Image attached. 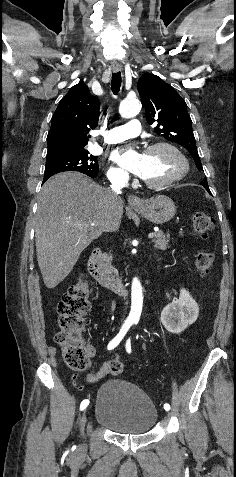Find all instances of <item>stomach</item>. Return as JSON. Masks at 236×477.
I'll use <instances>...</instances> for the list:
<instances>
[{
    "label": "stomach",
    "instance_id": "0dacf381",
    "mask_svg": "<svg viewBox=\"0 0 236 477\" xmlns=\"http://www.w3.org/2000/svg\"><path fill=\"white\" fill-rule=\"evenodd\" d=\"M134 208L142 217L154 224H164L170 221L176 213L174 202L164 195L144 200L140 206Z\"/></svg>",
    "mask_w": 236,
    "mask_h": 477
}]
</instances>
